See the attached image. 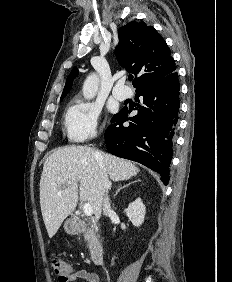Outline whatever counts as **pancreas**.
I'll list each match as a JSON object with an SVG mask.
<instances>
[{
  "label": "pancreas",
  "mask_w": 232,
  "mask_h": 282,
  "mask_svg": "<svg viewBox=\"0 0 232 282\" xmlns=\"http://www.w3.org/2000/svg\"><path fill=\"white\" fill-rule=\"evenodd\" d=\"M97 232H98L97 227H91L90 229H87L85 231V235H84L85 239L88 240V241L93 239Z\"/></svg>",
  "instance_id": "pancreas-1"
}]
</instances>
